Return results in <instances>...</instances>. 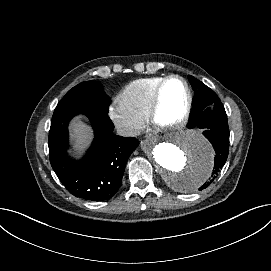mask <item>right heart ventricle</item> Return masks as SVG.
I'll return each instance as SVG.
<instances>
[{
  "label": "right heart ventricle",
  "instance_id": "right-heart-ventricle-1",
  "mask_svg": "<svg viewBox=\"0 0 271 271\" xmlns=\"http://www.w3.org/2000/svg\"><path fill=\"white\" fill-rule=\"evenodd\" d=\"M166 75H153L129 82L120 92L119 98L135 116L146 120L150 116L153 92Z\"/></svg>",
  "mask_w": 271,
  "mask_h": 271
}]
</instances>
